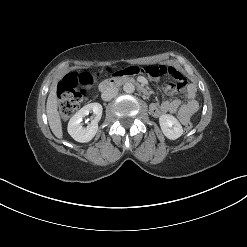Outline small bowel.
I'll use <instances>...</instances> for the list:
<instances>
[{
  "label": "small bowel",
  "mask_w": 247,
  "mask_h": 247,
  "mask_svg": "<svg viewBox=\"0 0 247 247\" xmlns=\"http://www.w3.org/2000/svg\"><path fill=\"white\" fill-rule=\"evenodd\" d=\"M116 76H131L141 75L152 80H159L163 76H168L174 80V83H169L164 87L168 94L177 92L183 93L186 102L183 103L180 99H168L161 104L152 103L150 112L155 117H160L165 114L177 113L181 124L185 125L198 111L199 105L196 101V90L193 84H188L186 78L179 69L171 65H131L120 69L115 73Z\"/></svg>",
  "instance_id": "1"
}]
</instances>
